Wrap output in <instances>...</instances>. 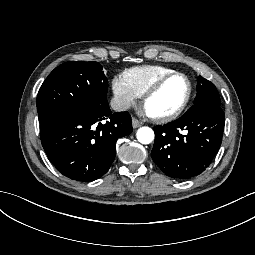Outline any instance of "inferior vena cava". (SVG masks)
<instances>
[{
	"label": "inferior vena cava",
	"mask_w": 255,
	"mask_h": 255,
	"mask_svg": "<svg viewBox=\"0 0 255 255\" xmlns=\"http://www.w3.org/2000/svg\"><path fill=\"white\" fill-rule=\"evenodd\" d=\"M131 106L130 100L123 96H114L111 99V107L115 111H125Z\"/></svg>",
	"instance_id": "obj_1"
}]
</instances>
